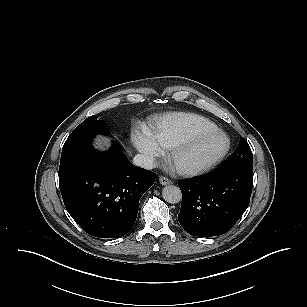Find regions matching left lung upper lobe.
Returning <instances> with one entry per match:
<instances>
[{
  "label": "left lung upper lobe",
  "instance_id": "left-lung-upper-lobe-1",
  "mask_svg": "<svg viewBox=\"0 0 307 307\" xmlns=\"http://www.w3.org/2000/svg\"><path fill=\"white\" fill-rule=\"evenodd\" d=\"M252 158V151L247 141L242 137L233 154L220 167L252 169Z\"/></svg>",
  "mask_w": 307,
  "mask_h": 307
}]
</instances>
